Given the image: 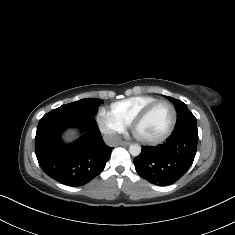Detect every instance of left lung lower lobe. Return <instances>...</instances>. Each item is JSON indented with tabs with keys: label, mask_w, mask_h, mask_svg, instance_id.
I'll return each mask as SVG.
<instances>
[{
	"label": "left lung lower lobe",
	"mask_w": 235,
	"mask_h": 235,
	"mask_svg": "<svg viewBox=\"0 0 235 235\" xmlns=\"http://www.w3.org/2000/svg\"><path fill=\"white\" fill-rule=\"evenodd\" d=\"M198 133L172 134L164 144L143 147L134 159L137 173L152 184L169 185L181 178L195 158Z\"/></svg>",
	"instance_id": "1"
}]
</instances>
